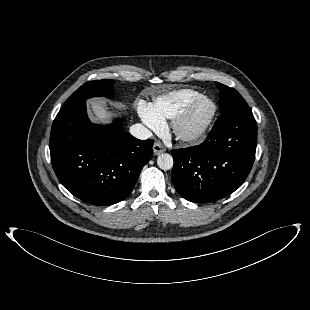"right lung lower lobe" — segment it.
Instances as JSON below:
<instances>
[{"mask_svg": "<svg viewBox=\"0 0 310 310\" xmlns=\"http://www.w3.org/2000/svg\"><path fill=\"white\" fill-rule=\"evenodd\" d=\"M152 140L125 132L121 121L93 124L86 102L64 106L51 129L50 155L59 181L74 196L93 205H112L133 190L152 156Z\"/></svg>", "mask_w": 310, "mask_h": 310, "instance_id": "obj_1", "label": "right lung lower lobe"}]
</instances>
